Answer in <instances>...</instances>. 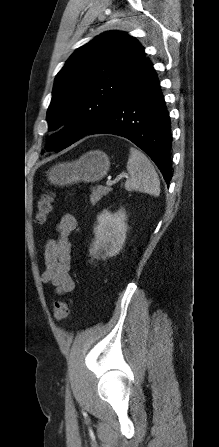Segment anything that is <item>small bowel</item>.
<instances>
[{
	"instance_id": "obj_1",
	"label": "small bowel",
	"mask_w": 219,
	"mask_h": 447,
	"mask_svg": "<svg viewBox=\"0 0 219 447\" xmlns=\"http://www.w3.org/2000/svg\"><path fill=\"white\" fill-rule=\"evenodd\" d=\"M76 224L74 215L65 213L56 225L57 237L45 247L42 281L53 285L59 294L71 293L75 287L69 270L72 253L70 236Z\"/></svg>"
}]
</instances>
